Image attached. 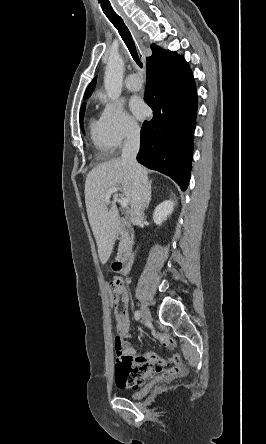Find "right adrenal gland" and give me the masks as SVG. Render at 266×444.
I'll list each match as a JSON object with an SVG mask.
<instances>
[{
	"label": "right adrenal gland",
	"mask_w": 266,
	"mask_h": 444,
	"mask_svg": "<svg viewBox=\"0 0 266 444\" xmlns=\"http://www.w3.org/2000/svg\"><path fill=\"white\" fill-rule=\"evenodd\" d=\"M150 201H151V182H150L149 200H148V204H147V206H146V209L149 208Z\"/></svg>",
	"instance_id": "obj_1"
}]
</instances>
